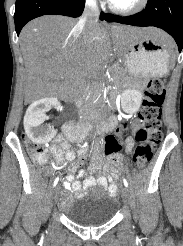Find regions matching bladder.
Masks as SVG:
<instances>
[{
	"instance_id": "obj_1",
	"label": "bladder",
	"mask_w": 183,
	"mask_h": 246,
	"mask_svg": "<svg viewBox=\"0 0 183 246\" xmlns=\"http://www.w3.org/2000/svg\"><path fill=\"white\" fill-rule=\"evenodd\" d=\"M119 207L118 200L102 191L73 201L64 209L66 217L82 227H97L108 223Z\"/></svg>"
}]
</instances>
